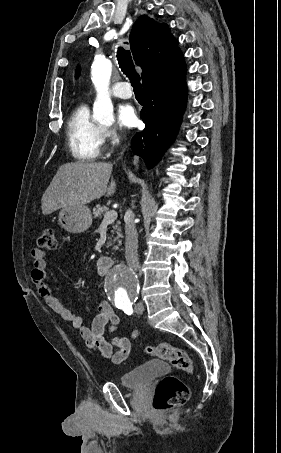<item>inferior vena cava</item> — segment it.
<instances>
[{
  "label": "inferior vena cava",
  "instance_id": "obj_1",
  "mask_svg": "<svg viewBox=\"0 0 281 453\" xmlns=\"http://www.w3.org/2000/svg\"><path fill=\"white\" fill-rule=\"evenodd\" d=\"M125 253L126 261L134 271L138 269V235L135 229L134 212L127 210L125 214Z\"/></svg>",
  "mask_w": 281,
  "mask_h": 453
}]
</instances>
